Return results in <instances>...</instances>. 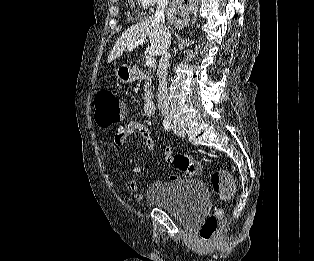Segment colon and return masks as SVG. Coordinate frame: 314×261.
Returning <instances> with one entry per match:
<instances>
[{"label": "colon", "instance_id": "1", "mask_svg": "<svg viewBox=\"0 0 314 261\" xmlns=\"http://www.w3.org/2000/svg\"><path fill=\"white\" fill-rule=\"evenodd\" d=\"M125 117V107L113 92L101 90L95 96V121L100 127H109L121 122ZM167 162L172 164L186 177H193L202 172L201 164L193 157L186 154H176L167 157ZM175 178V177H173ZM211 186L218 197L227 201L236 192V184L228 171L217 170L211 175ZM223 221V211L215 209L206 217L199 229V235L206 242L217 238Z\"/></svg>", "mask_w": 314, "mask_h": 261}]
</instances>
